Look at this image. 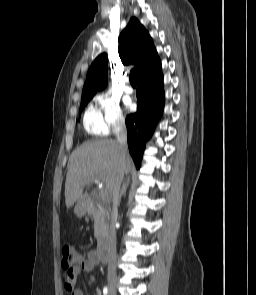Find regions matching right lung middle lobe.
<instances>
[{"label":"right lung middle lobe","instance_id":"obj_1","mask_svg":"<svg viewBox=\"0 0 256 295\" xmlns=\"http://www.w3.org/2000/svg\"><path fill=\"white\" fill-rule=\"evenodd\" d=\"M92 99V97H84L81 99L80 113L83 111L87 103Z\"/></svg>","mask_w":256,"mask_h":295}]
</instances>
